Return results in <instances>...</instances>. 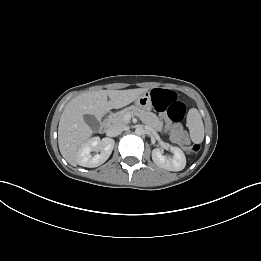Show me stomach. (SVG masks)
<instances>
[{"instance_id":"1","label":"stomach","mask_w":261,"mask_h":261,"mask_svg":"<svg viewBox=\"0 0 261 261\" xmlns=\"http://www.w3.org/2000/svg\"><path fill=\"white\" fill-rule=\"evenodd\" d=\"M135 105L144 111L152 108V100L149 92H145L135 100Z\"/></svg>"}]
</instances>
